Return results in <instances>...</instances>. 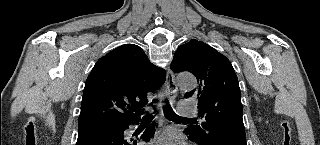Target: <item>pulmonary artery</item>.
Here are the masks:
<instances>
[{"instance_id": "pulmonary-artery-1", "label": "pulmonary artery", "mask_w": 320, "mask_h": 145, "mask_svg": "<svg viewBox=\"0 0 320 145\" xmlns=\"http://www.w3.org/2000/svg\"><path fill=\"white\" fill-rule=\"evenodd\" d=\"M178 113L182 116H195L196 110L193 106H187L185 107L183 105V102L180 103V107L178 109Z\"/></svg>"}]
</instances>
